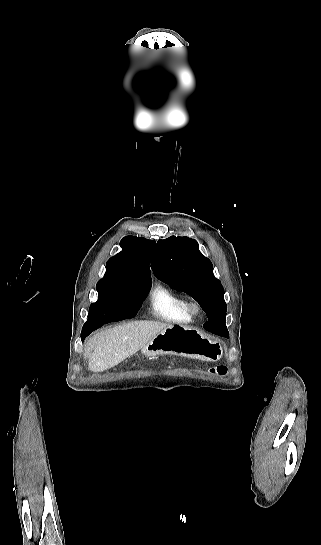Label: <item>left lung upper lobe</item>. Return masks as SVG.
Segmentation results:
<instances>
[{"mask_svg":"<svg viewBox=\"0 0 321 545\" xmlns=\"http://www.w3.org/2000/svg\"><path fill=\"white\" fill-rule=\"evenodd\" d=\"M151 267L158 279L192 296L206 313L217 310L226 315L224 288L196 240L175 236L159 240Z\"/></svg>","mask_w":321,"mask_h":545,"instance_id":"1","label":"left lung upper lobe"}]
</instances>
